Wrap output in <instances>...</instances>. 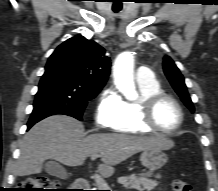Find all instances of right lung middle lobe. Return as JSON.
Masks as SVG:
<instances>
[{"label": "right lung middle lobe", "mask_w": 218, "mask_h": 191, "mask_svg": "<svg viewBox=\"0 0 218 191\" xmlns=\"http://www.w3.org/2000/svg\"><path fill=\"white\" fill-rule=\"evenodd\" d=\"M101 89L89 85L65 70L46 66L35 96L33 111L50 107L79 119L87 102L95 98Z\"/></svg>", "instance_id": "dd1d6c3e"}]
</instances>
